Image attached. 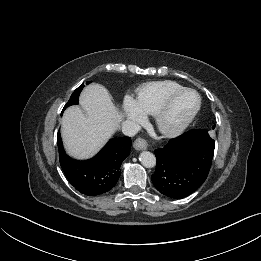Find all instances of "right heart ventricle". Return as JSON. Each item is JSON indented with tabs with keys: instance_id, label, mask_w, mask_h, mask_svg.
I'll list each match as a JSON object with an SVG mask.
<instances>
[{
	"instance_id": "right-heart-ventricle-1",
	"label": "right heart ventricle",
	"mask_w": 261,
	"mask_h": 261,
	"mask_svg": "<svg viewBox=\"0 0 261 261\" xmlns=\"http://www.w3.org/2000/svg\"><path fill=\"white\" fill-rule=\"evenodd\" d=\"M182 88V85L170 80L150 82L137 90L135 102L143 114L154 115L170 94Z\"/></svg>"
}]
</instances>
